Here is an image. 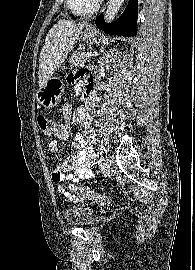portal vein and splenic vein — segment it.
<instances>
[{
  "label": "portal vein and splenic vein",
  "instance_id": "18ae733b",
  "mask_svg": "<svg viewBox=\"0 0 195 270\" xmlns=\"http://www.w3.org/2000/svg\"><path fill=\"white\" fill-rule=\"evenodd\" d=\"M98 54L96 52L92 53V52H89L86 54V57H93V56H97Z\"/></svg>",
  "mask_w": 195,
  "mask_h": 270
}]
</instances>
